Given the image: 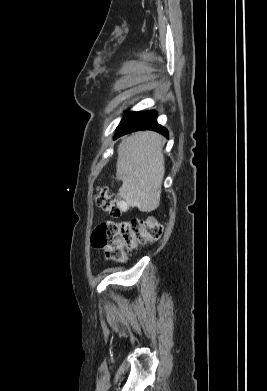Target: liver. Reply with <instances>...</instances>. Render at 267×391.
Segmentation results:
<instances>
[{
	"mask_svg": "<svg viewBox=\"0 0 267 391\" xmlns=\"http://www.w3.org/2000/svg\"><path fill=\"white\" fill-rule=\"evenodd\" d=\"M164 138L152 131L127 136L118 147L116 179L126 206L151 212L160 204L165 173Z\"/></svg>",
	"mask_w": 267,
	"mask_h": 391,
	"instance_id": "obj_1",
	"label": "liver"
}]
</instances>
